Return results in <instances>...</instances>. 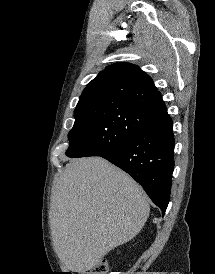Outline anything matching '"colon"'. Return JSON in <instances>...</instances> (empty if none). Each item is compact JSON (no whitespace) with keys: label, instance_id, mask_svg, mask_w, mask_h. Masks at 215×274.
<instances>
[{"label":"colon","instance_id":"1","mask_svg":"<svg viewBox=\"0 0 215 274\" xmlns=\"http://www.w3.org/2000/svg\"><path fill=\"white\" fill-rule=\"evenodd\" d=\"M109 264L105 259L98 261L87 274H107Z\"/></svg>","mask_w":215,"mask_h":274}]
</instances>
